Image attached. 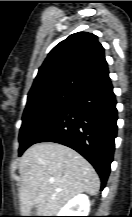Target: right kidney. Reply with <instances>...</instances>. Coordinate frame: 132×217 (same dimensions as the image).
<instances>
[{"label": "right kidney", "instance_id": "ca27d5eb", "mask_svg": "<svg viewBox=\"0 0 132 217\" xmlns=\"http://www.w3.org/2000/svg\"><path fill=\"white\" fill-rule=\"evenodd\" d=\"M90 201L85 194H79L71 199L57 216H88Z\"/></svg>", "mask_w": 132, "mask_h": 217}]
</instances>
